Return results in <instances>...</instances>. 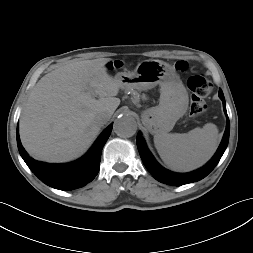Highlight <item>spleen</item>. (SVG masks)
<instances>
[{
  "label": "spleen",
  "instance_id": "spleen-1",
  "mask_svg": "<svg viewBox=\"0 0 253 253\" xmlns=\"http://www.w3.org/2000/svg\"><path fill=\"white\" fill-rule=\"evenodd\" d=\"M155 147L164 163L173 170L187 172L205 164L218 146V129L207 123L188 133L156 134Z\"/></svg>",
  "mask_w": 253,
  "mask_h": 253
}]
</instances>
